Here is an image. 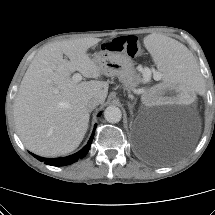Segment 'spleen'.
<instances>
[{
  "label": "spleen",
  "instance_id": "1",
  "mask_svg": "<svg viewBox=\"0 0 215 215\" xmlns=\"http://www.w3.org/2000/svg\"><path fill=\"white\" fill-rule=\"evenodd\" d=\"M144 44L163 72L164 83L184 85L192 95L202 92L204 83L197 72V63L190 58L183 45L174 40L153 36L146 37Z\"/></svg>",
  "mask_w": 215,
  "mask_h": 215
}]
</instances>
